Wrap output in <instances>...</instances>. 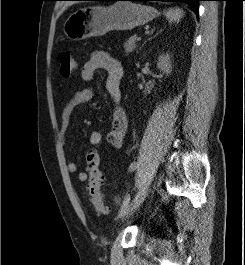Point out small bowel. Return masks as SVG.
<instances>
[{"label":"small bowel","mask_w":245,"mask_h":265,"mask_svg":"<svg viewBox=\"0 0 245 265\" xmlns=\"http://www.w3.org/2000/svg\"><path fill=\"white\" fill-rule=\"evenodd\" d=\"M99 69L106 71V89L115 103L113 111L111 128L106 137L100 131H92L89 141L92 146H100L106 140L111 146L120 148L125 140V135L128 127V119L124 109L120 106L121 91L120 83L124 75V70L121 64L103 51H96L91 55V58L86 62L81 70V77L84 81H90L95 72ZM94 97V89L90 86L80 87L76 89L70 100L63 107L61 112L59 138L64 144L65 136L70 124V119L73 113ZM67 170L70 173H76L78 165L71 160L67 163ZM77 178L81 182L88 180V175L85 172H78ZM116 203H119L117 197H113Z\"/></svg>","instance_id":"obj_1"}]
</instances>
